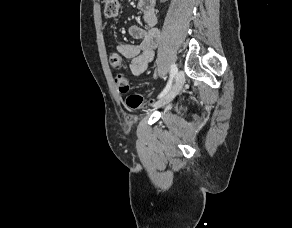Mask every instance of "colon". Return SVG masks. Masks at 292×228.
I'll use <instances>...</instances> for the list:
<instances>
[{
  "label": "colon",
  "mask_w": 292,
  "mask_h": 228,
  "mask_svg": "<svg viewBox=\"0 0 292 228\" xmlns=\"http://www.w3.org/2000/svg\"><path fill=\"white\" fill-rule=\"evenodd\" d=\"M120 12L119 0H104V14L108 18L116 17ZM109 62L113 69H120L122 65V59L116 52H111L109 56ZM118 90L127 94L129 92V85L124 77H118L116 79ZM152 101H150V104ZM126 105L132 110H139L146 106L144 97L139 93H129L126 97Z\"/></svg>",
  "instance_id": "colon-1"
}]
</instances>
